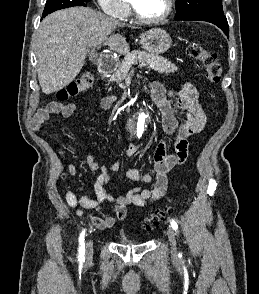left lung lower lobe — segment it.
<instances>
[{
	"label": "left lung lower lobe",
	"mask_w": 259,
	"mask_h": 294,
	"mask_svg": "<svg viewBox=\"0 0 259 294\" xmlns=\"http://www.w3.org/2000/svg\"><path fill=\"white\" fill-rule=\"evenodd\" d=\"M176 20L177 21H180V20L207 21L218 26L226 34V36L229 37V26H228V22L225 15L201 13V14L184 17V18H176Z\"/></svg>",
	"instance_id": "0a47b994"
}]
</instances>
